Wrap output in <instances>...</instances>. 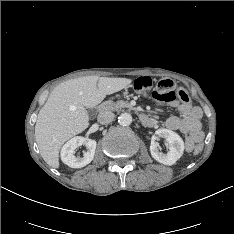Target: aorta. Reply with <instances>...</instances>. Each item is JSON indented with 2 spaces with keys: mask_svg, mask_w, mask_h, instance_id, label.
Wrapping results in <instances>:
<instances>
[{
  "mask_svg": "<svg viewBox=\"0 0 234 234\" xmlns=\"http://www.w3.org/2000/svg\"><path fill=\"white\" fill-rule=\"evenodd\" d=\"M118 123L122 126H129L132 123V116L130 113H121L118 117Z\"/></svg>",
  "mask_w": 234,
  "mask_h": 234,
  "instance_id": "1",
  "label": "aorta"
}]
</instances>
